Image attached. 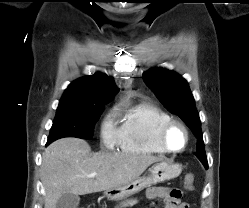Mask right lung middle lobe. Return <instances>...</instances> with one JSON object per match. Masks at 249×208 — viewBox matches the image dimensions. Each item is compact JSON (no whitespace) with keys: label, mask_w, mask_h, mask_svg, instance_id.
<instances>
[{"label":"right lung middle lobe","mask_w":249,"mask_h":208,"mask_svg":"<svg viewBox=\"0 0 249 208\" xmlns=\"http://www.w3.org/2000/svg\"><path fill=\"white\" fill-rule=\"evenodd\" d=\"M103 109L104 106L95 105L58 106L47 145L62 137L92 139L94 125Z\"/></svg>","instance_id":"dd1d6c3e"}]
</instances>
